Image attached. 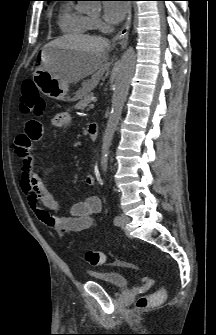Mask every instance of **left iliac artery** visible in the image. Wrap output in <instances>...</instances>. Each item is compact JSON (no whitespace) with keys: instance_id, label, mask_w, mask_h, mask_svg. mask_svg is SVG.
Segmentation results:
<instances>
[{"instance_id":"left-iliac-artery-1","label":"left iliac artery","mask_w":216,"mask_h":335,"mask_svg":"<svg viewBox=\"0 0 216 335\" xmlns=\"http://www.w3.org/2000/svg\"><path fill=\"white\" fill-rule=\"evenodd\" d=\"M120 221V217L119 216H115L114 217V224L117 225Z\"/></svg>"}]
</instances>
